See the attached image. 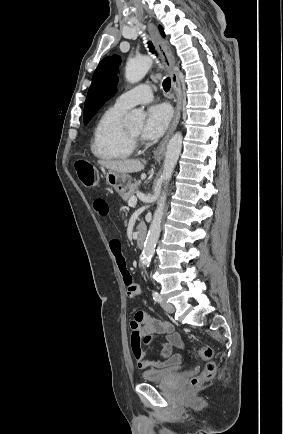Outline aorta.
Instances as JSON below:
<instances>
[{
	"instance_id": "762f6f07",
	"label": "aorta",
	"mask_w": 283,
	"mask_h": 434,
	"mask_svg": "<svg viewBox=\"0 0 283 434\" xmlns=\"http://www.w3.org/2000/svg\"><path fill=\"white\" fill-rule=\"evenodd\" d=\"M152 59L149 56L138 58H131L126 63L125 78L129 83L139 82L149 71L152 66ZM145 118V113L136 109L133 110L126 118V123L130 125L141 124ZM182 134L175 133L168 142L165 160L163 164V171L161 178L167 185L172 177L174 168L176 166L178 157L182 149ZM166 201V192L163 191L157 203V208L151 222L144 247L142 251V262L144 265L149 266L151 259L155 253V246L159 239L161 232V221L163 216V207Z\"/></svg>"
}]
</instances>
